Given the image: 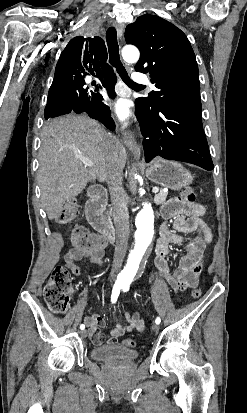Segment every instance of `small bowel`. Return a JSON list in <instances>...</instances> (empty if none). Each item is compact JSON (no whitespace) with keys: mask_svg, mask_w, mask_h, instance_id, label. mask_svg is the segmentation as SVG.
<instances>
[{"mask_svg":"<svg viewBox=\"0 0 247 413\" xmlns=\"http://www.w3.org/2000/svg\"><path fill=\"white\" fill-rule=\"evenodd\" d=\"M204 208L197 203H176L170 201L163 208V216L166 222L160 228V236L156 243V257L154 264L156 269L163 275L164 279L174 292H178L187 286L191 292H196L200 286L198 280L201 277V266L207 243L211 240V230L203 220ZM173 227V229L170 228ZM195 233V237L186 241L183 234ZM185 245L186 253L180 258L177 268L171 272L168 262L169 246ZM105 245V244H104ZM104 245L101 248L92 250L74 249L69 251L65 257V265L74 276H79L82 272V264L86 261L95 264H102L104 257ZM191 280V281H190ZM127 325H122L116 317L115 326L111 330V338L107 343L109 349H116L118 343L116 339L126 332L134 330L143 331L145 321L141 315L135 313H125ZM87 332L93 337L95 343H103L105 336L98 334L97 326L103 325L104 321L96 317L95 311L89 312V317L84 319Z\"/></svg>","mask_w":247,"mask_h":413,"instance_id":"1","label":"small bowel"}]
</instances>
